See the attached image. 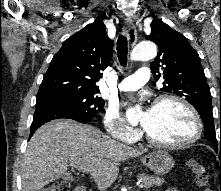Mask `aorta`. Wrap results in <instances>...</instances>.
Wrapping results in <instances>:
<instances>
[{
  "mask_svg": "<svg viewBox=\"0 0 221 191\" xmlns=\"http://www.w3.org/2000/svg\"><path fill=\"white\" fill-rule=\"evenodd\" d=\"M157 55V47L153 42L150 41H145L139 43L132 55L131 59L135 61H145V60H150L153 59ZM139 114V108L134 109V108H129L126 111V117L129 122H132Z\"/></svg>",
  "mask_w": 221,
  "mask_h": 191,
  "instance_id": "1",
  "label": "aorta"
}]
</instances>
